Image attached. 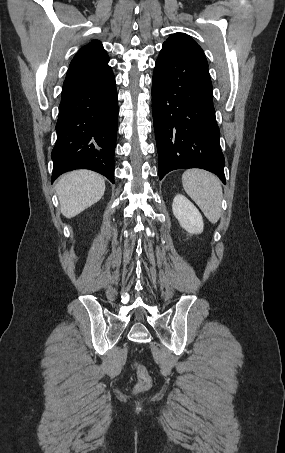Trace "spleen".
Masks as SVG:
<instances>
[{
    "label": "spleen",
    "mask_w": 285,
    "mask_h": 453,
    "mask_svg": "<svg viewBox=\"0 0 285 453\" xmlns=\"http://www.w3.org/2000/svg\"><path fill=\"white\" fill-rule=\"evenodd\" d=\"M182 184L206 218L213 224L217 223L221 215L223 197L219 178L205 170L189 169L182 175Z\"/></svg>",
    "instance_id": "1"
}]
</instances>
